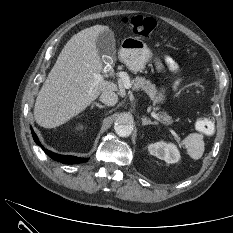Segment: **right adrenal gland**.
<instances>
[{
	"mask_svg": "<svg viewBox=\"0 0 233 233\" xmlns=\"http://www.w3.org/2000/svg\"><path fill=\"white\" fill-rule=\"evenodd\" d=\"M94 106H96V107H98V108H100V109H102V108L105 107L104 105H101V104H99V103H97V102H93V104H92V106H91V109H92Z\"/></svg>",
	"mask_w": 233,
	"mask_h": 233,
	"instance_id": "2a0ac1e0",
	"label": "right adrenal gland"
}]
</instances>
